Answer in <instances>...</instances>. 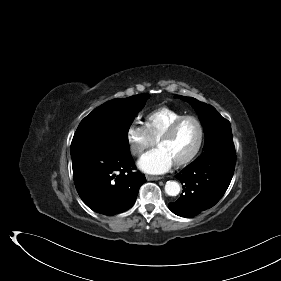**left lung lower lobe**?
I'll return each mask as SVG.
<instances>
[{"instance_id": "0a47b994", "label": "left lung lower lobe", "mask_w": 281, "mask_h": 281, "mask_svg": "<svg viewBox=\"0 0 281 281\" xmlns=\"http://www.w3.org/2000/svg\"><path fill=\"white\" fill-rule=\"evenodd\" d=\"M236 154H205L186 166L176 178L183 184L177 201L169 203L178 216L192 218L213 207L226 192L235 169Z\"/></svg>"}]
</instances>
